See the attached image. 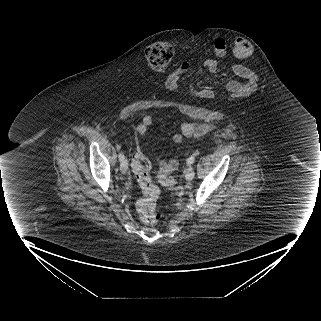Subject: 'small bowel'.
Segmentation results:
<instances>
[{
	"instance_id": "small-bowel-1",
	"label": "small bowel",
	"mask_w": 321,
	"mask_h": 321,
	"mask_svg": "<svg viewBox=\"0 0 321 321\" xmlns=\"http://www.w3.org/2000/svg\"><path fill=\"white\" fill-rule=\"evenodd\" d=\"M213 49L217 59H208L195 69H193V65L191 63H183L180 65V67L168 75L166 79L167 85L170 87H176L180 79L191 71L193 72L191 79H194L204 70L215 72L218 68L219 60L226 56V42L220 38L216 39L213 44ZM230 70L237 76L247 79L243 80L242 82L240 80H233L225 86V91L232 97L243 98L248 93H252L260 86L259 80L261 79V74L257 70L251 69L248 65H244L239 61H234L230 65ZM195 91L196 88L194 86H191L188 90V94L193 99H202L203 97L213 98L215 96V92L213 90H202L201 92L197 93ZM152 124V115L146 114L137 127V134L142 137L145 136ZM214 128V125L210 124L183 123L180 126L179 132L172 136V140L176 144H182L186 139L207 135ZM156 158L158 161L159 176H166L178 168L179 162L177 159L166 161L161 155H157Z\"/></svg>"
}]
</instances>
